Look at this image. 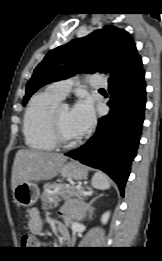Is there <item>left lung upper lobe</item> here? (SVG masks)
Here are the masks:
<instances>
[{"label":"left lung upper lobe","mask_w":162,"mask_h":261,"mask_svg":"<svg viewBox=\"0 0 162 261\" xmlns=\"http://www.w3.org/2000/svg\"><path fill=\"white\" fill-rule=\"evenodd\" d=\"M140 59L128 32L115 26H106L51 50L28 81L23 105L45 84L80 72L104 73V70L111 73L109 80H112Z\"/></svg>","instance_id":"obj_1"}]
</instances>
